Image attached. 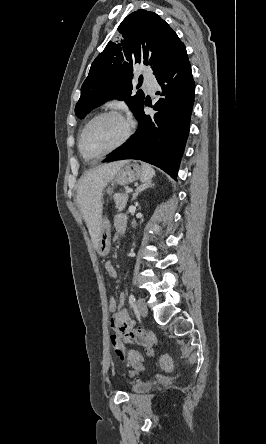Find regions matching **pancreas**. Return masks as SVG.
Masks as SVG:
<instances>
[{"label": "pancreas", "mask_w": 266, "mask_h": 444, "mask_svg": "<svg viewBox=\"0 0 266 444\" xmlns=\"http://www.w3.org/2000/svg\"><path fill=\"white\" fill-rule=\"evenodd\" d=\"M127 201H128V194L118 193L114 195L115 208L117 209L118 212L124 210V208L127 205Z\"/></svg>", "instance_id": "obj_1"}]
</instances>
